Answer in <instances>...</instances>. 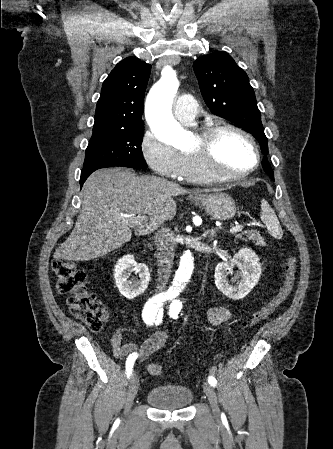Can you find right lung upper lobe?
Listing matches in <instances>:
<instances>
[{"label":"right lung upper lobe","instance_id":"1","mask_svg":"<svg viewBox=\"0 0 333 449\" xmlns=\"http://www.w3.org/2000/svg\"><path fill=\"white\" fill-rule=\"evenodd\" d=\"M151 65L135 57L119 62L103 82L93 131L143 127V100Z\"/></svg>","mask_w":333,"mask_h":449}]
</instances>
